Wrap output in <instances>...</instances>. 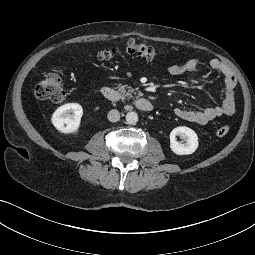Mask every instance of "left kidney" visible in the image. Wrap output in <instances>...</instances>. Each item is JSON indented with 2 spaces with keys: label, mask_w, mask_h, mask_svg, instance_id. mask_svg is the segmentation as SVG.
<instances>
[{
  "label": "left kidney",
  "mask_w": 255,
  "mask_h": 255,
  "mask_svg": "<svg viewBox=\"0 0 255 255\" xmlns=\"http://www.w3.org/2000/svg\"><path fill=\"white\" fill-rule=\"evenodd\" d=\"M176 136L186 140V143L176 141ZM198 136L194 130L186 126L174 128L170 133V148L177 155H189L198 148Z\"/></svg>",
  "instance_id": "obj_1"
}]
</instances>
